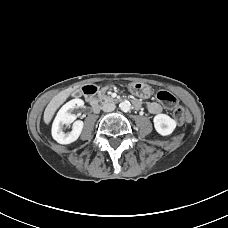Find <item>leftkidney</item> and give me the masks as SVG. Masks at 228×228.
I'll list each match as a JSON object with an SVG mask.
<instances>
[{"label": "left kidney", "instance_id": "obj_1", "mask_svg": "<svg viewBox=\"0 0 228 228\" xmlns=\"http://www.w3.org/2000/svg\"><path fill=\"white\" fill-rule=\"evenodd\" d=\"M155 130L162 136L170 135L176 128V121L166 114H158L153 119Z\"/></svg>", "mask_w": 228, "mask_h": 228}]
</instances>
